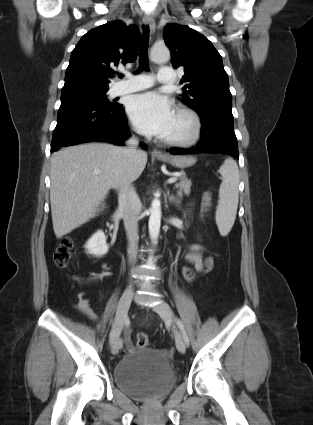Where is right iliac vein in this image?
Returning <instances> with one entry per match:
<instances>
[{"label":"right iliac vein","mask_w":313,"mask_h":425,"mask_svg":"<svg viewBox=\"0 0 313 425\" xmlns=\"http://www.w3.org/2000/svg\"><path fill=\"white\" fill-rule=\"evenodd\" d=\"M132 297L133 287L128 286L119 300L115 322L110 333V343L113 348H117L118 346V340L131 304Z\"/></svg>","instance_id":"right-iliac-vein-1"}]
</instances>
